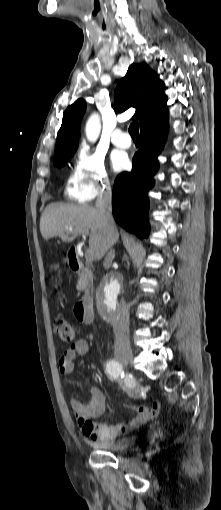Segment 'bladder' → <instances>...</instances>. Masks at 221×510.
<instances>
[{
	"label": "bladder",
	"instance_id": "1",
	"mask_svg": "<svg viewBox=\"0 0 221 510\" xmlns=\"http://www.w3.org/2000/svg\"><path fill=\"white\" fill-rule=\"evenodd\" d=\"M135 443L133 436H126L120 439H116L110 442H97L95 447L99 450H103L110 453H118L130 449Z\"/></svg>",
	"mask_w": 221,
	"mask_h": 510
}]
</instances>
